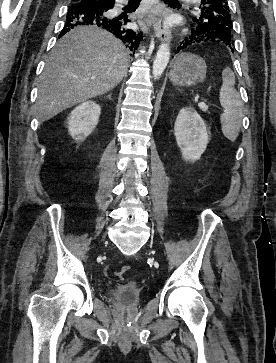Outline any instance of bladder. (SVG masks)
I'll return each instance as SVG.
<instances>
[{"label":"bladder","instance_id":"1","mask_svg":"<svg viewBox=\"0 0 276 363\" xmlns=\"http://www.w3.org/2000/svg\"><path fill=\"white\" fill-rule=\"evenodd\" d=\"M110 295L119 303L127 306L136 305L141 296V290L135 285H120L110 290Z\"/></svg>","mask_w":276,"mask_h":363}]
</instances>
